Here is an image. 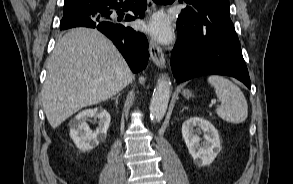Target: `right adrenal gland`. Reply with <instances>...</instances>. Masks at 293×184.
<instances>
[{"label": "right adrenal gland", "mask_w": 293, "mask_h": 184, "mask_svg": "<svg viewBox=\"0 0 293 184\" xmlns=\"http://www.w3.org/2000/svg\"><path fill=\"white\" fill-rule=\"evenodd\" d=\"M120 95L121 94L119 93L116 97L111 98V99H114L115 100L116 105L118 104V99H119V96Z\"/></svg>", "instance_id": "obj_1"}]
</instances>
